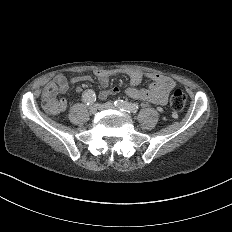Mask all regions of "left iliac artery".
<instances>
[{"mask_svg": "<svg viewBox=\"0 0 232 232\" xmlns=\"http://www.w3.org/2000/svg\"><path fill=\"white\" fill-rule=\"evenodd\" d=\"M114 105L121 111L128 113H136L139 110L138 104L127 103L123 100H117L114 102Z\"/></svg>", "mask_w": 232, "mask_h": 232, "instance_id": "obj_1", "label": "left iliac artery"}]
</instances>
